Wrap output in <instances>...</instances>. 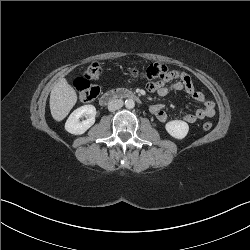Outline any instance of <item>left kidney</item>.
Wrapping results in <instances>:
<instances>
[{
  "label": "left kidney",
  "instance_id": "left-kidney-1",
  "mask_svg": "<svg viewBox=\"0 0 250 250\" xmlns=\"http://www.w3.org/2000/svg\"><path fill=\"white\" fill-rule=\"evenodd\" d=\"M165 129L172 137L181 140L188 134L189 126L182 120H173L166 123Z\"/></svg>",
  "mask_w": 250,
  "mask_h": 250
}]
</instances>
